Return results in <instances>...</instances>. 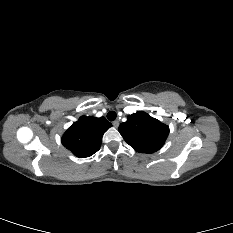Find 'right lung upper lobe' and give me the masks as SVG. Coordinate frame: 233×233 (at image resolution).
<instances>
[{"label": "right lung upper lobe", "mask_w": 233, "mask_h": 233, "mask_svg": "<svg viewBox=\"0 0 233 233\" xmlns=\"http://www.w3.org/2000/svg\"><path fill=\"white\" fill-rule=\"evenodd\" d=\"M112 126L104 117L82 116L62 136V144L75 156L84 158L100 149L103 134Z\"/></svg>", "instance_id": "right-lung-upper-lobe-1"}]
</instances>
